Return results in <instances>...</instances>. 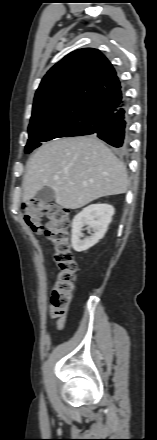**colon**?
I'll return each mask as SVG.
<instances>
[{
    "mask_svg": "<svg viewBox=\"0 0 157 440\" xmlns=\"http://www.w3.org/2000/svg\"><path fill=\"white\" fill-rule=\"evenodd\" d=\"M25 223L36 233L44 232L53 246L52 257L57 266L51 298V312L64 317L73 299L77 281V262L70 243L68 210L38 199L22 204ZM43 218L47 222L43 224Z\"/></svg>",
    "mask_w": 157,
    "mask_h": 440,
    "instance_id": "colon-1",
    "label": "colon"
}]
</instances>
